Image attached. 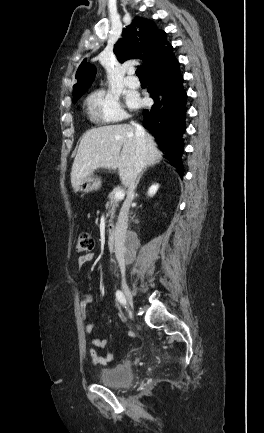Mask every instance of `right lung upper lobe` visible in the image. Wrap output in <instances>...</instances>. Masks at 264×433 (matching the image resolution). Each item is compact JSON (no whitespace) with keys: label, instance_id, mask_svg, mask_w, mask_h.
Instances as JSON below:
<instances>
[{"label":"right lung upper lobe","instance_id":"cb5924a9","mask_svg":"<svg viewBox=\"0 0 264 433\" xmlns=\"http://www.w3.org/2000/svg\"><path fill=\"white\" fill-rule=\"evenodd\" d=\"M165 32L145 18L135 17L123 30L122 38L114 45V53L120 61L141 59L144 75L153 68L169 61L174 55L173 47L167 42ZM96 74V67L84 60L76 73L78 82L74 85L73 100L80 98L91 85Z\"/></svg>","mask_w":264,"mask_h":433}]
</instances>
